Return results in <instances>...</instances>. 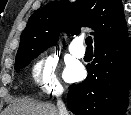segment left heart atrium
I'll list each match as a JSON object with an SVG mask.
<instances>
[{
  "label": "left heart atrium",
  "mask_w": 131,
  "mask_h": 115,
  "mask_svg": "<svg viewBox=\"0 0 131 115\" xmlns=\"http://www.w3.org/2000/svg\"><path fill=\"white\" fill-rule=\"evenodd\" d=\"M82 76V69L77 65L69 67L66 71V78L70 81L78 80Z\"/></svg>",
  "instance_id": "1"
}]
</instances>
